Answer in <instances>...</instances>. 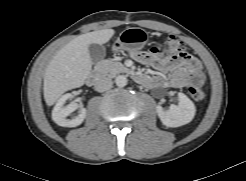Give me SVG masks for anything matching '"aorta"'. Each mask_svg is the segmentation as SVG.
<instances>
[{
    "mask_svg": "<svg viewBox=\"0 0 246 181\" xmlns=\"http://www.w3.org/2000/svg\"><path fill=\"white\" fill-rule=\"evenodd\" d=\"M115 83L118 87H124L127 85L128 80L126 78V76L124 75H119L115 78Z\"/></svg>",
    "mask_w": 246,
    "mask_h": 181,
    "instance_id": "aorta-1",
    "label": "aorta"
}]
</instances>
